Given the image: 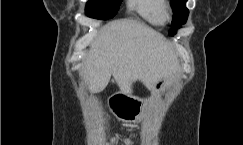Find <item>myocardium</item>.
Listing matches in <instances>:
<instances>
[{
    "mask_svg": "<svg viewBox=\"0 0 243 145\" xmlns=\"http://www.w3.org/2000/svg\"><path fill=\"white\" fill-rule=\"evenodd\" d=\"M163 16H164V19H170L171 18L170 12H169V10L166 6L164 7Z\"/></svg>",
    "mask_w": 243,
    "mask_h": 145,
    "instance_id": "myocardium-1",
    "label": "myocardium"
}]
</instances>
